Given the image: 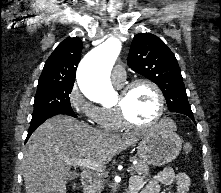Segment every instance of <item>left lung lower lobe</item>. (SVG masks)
Instances as JSON below:
<instances>
[{
    "label": "left lung lower lobe",
    "instance_id": "0a47b994",
    "mask_svg": "<svg viewBox=\"0 0 221 193\" xmlns=\"http://www.w3.org/2000/svg\"><path fill=\"white\" fill-rule=\"evenodd\" d=\"M182 114H185V115L189 116L194 121V117H193L192 113H182Z\"/></svg>",
    "mask_w": 221,
    "mask_h": 193
}]
</instances>
